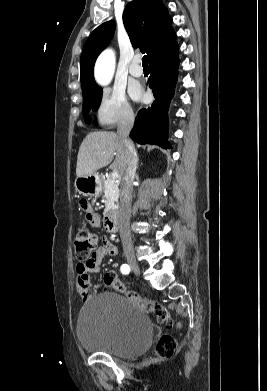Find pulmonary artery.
Segmentation results:
<instances>
[{"instance_id": "e3ab8cb5", "label": "pulmonary artery", "mask_w": 267, "mask_h": 391, "mask_svg": "<svg viewBox=\"0 0 267 391\" xmlns=\"http://www.w3.org/2000/svg\"><path fill=\"white\" fill-rule=\"evenodd\" d=\"M140 61H141L140 56L136 55L133 58V61H132L131 65H130V67H129V72L134 77H140L143 74V69L139 65Z\"/></svg>"}]
</instances>
